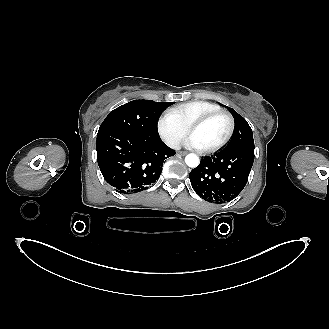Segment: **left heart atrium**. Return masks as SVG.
I'll return each instance as SVG.
<instances>
[{"mask_svg":"<svg viewBox=\"0 0 329 329\" xmlns=\"http://www.w3.org/2000/svg\"><path fill=\"white\" fill-rule=\"evenodd\" d=\"M184 146L188 147V148H192V149H201L198 141L196 140V138L192 135H189L185 141H184Z\"/></svg>","mask_w":329,"mask_h":329,"instance_id":"obj_1","label":"left heart atrium"}]
</instances>
